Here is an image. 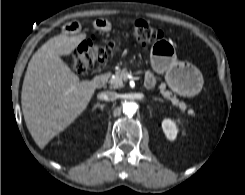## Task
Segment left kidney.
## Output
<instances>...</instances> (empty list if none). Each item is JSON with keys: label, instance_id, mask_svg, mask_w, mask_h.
Here are the masks:
<instances>
[{"label": "left kidney", "instance_id": "obj_1", "mask_svg": "<svg viewBox=\"0 0 245 195\" xmlns=\"http://www.w3.org/2000/svg\"><path fill=\"white\" fill-rule=\"evenodd\" d=\"M162 129L169 140H175L177 137L178 129L175 122L170 119H165L162 122Z\"/></svg>", "mask_w": 245, "mask_h": 195}]
</instances>
